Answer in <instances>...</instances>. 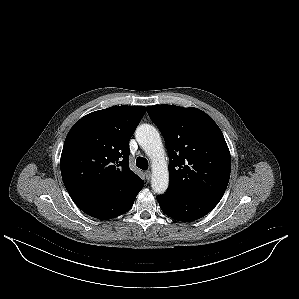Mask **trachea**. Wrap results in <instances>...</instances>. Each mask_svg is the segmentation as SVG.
Here are the masks:
<instances>
[{
  "instance_id": "1",
  "label": "trachea",
  "mask_w": 299,
  "mask_h": 299,
  "mask_svg": "<svg viewBox=\"0 0 299 299\" xmlns=\"http://www.w3.org/2000/svg\"><path fill=\"white\" fill-rule=\"evenodd\" d=\"M136 166L142 170H146L148 169V161L147 159L143 158V157H138L136 159Z\"/></svg>"
}]
</instances>
